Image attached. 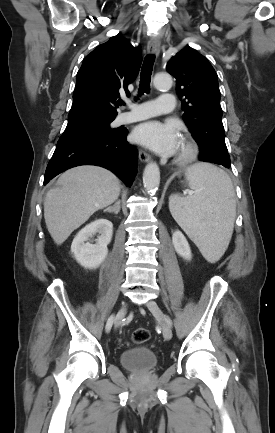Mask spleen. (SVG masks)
Segmentation results:
<instances>
[{
    "instance_id": "1",
    "label": "spleen",
    "mask_w": 275,
    "mask_h": 433,
    "mask_svg": "<svg viewBox=\"0 0 275 433\" xmlns=\"http://www.w3.org/2000/svg\"><path fill=\"white\" fill-rule=\"evenodd\" d=\"M185 177L194 194L171 196L170 212L204 258L214 263L226 251L233 233L236 202L232 181L222 169L207 163L188 167Z\"/></svg>"
}]
</instances>
